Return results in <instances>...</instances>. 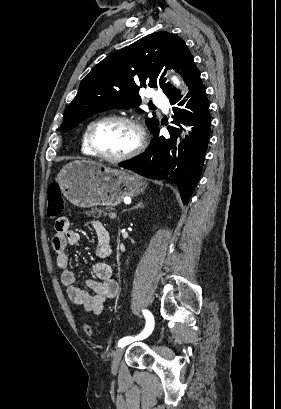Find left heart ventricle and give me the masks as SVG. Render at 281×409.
<instances>
[{
  "label": "left heart ventricle",
  "mask_w": 281,
  "mask_h": 409,
  "mask_svg": "<svg viewBox=\"0 0 281 409\" xmlns=\"http://www.w3.org/2000/svg\"><path fill=\"white\" fill-rule=\"evenodd\" d=\"M96 141L102 154L114 157L133 149L138 142V134L126 123L109 122L99 129Z\"/></svg>",
  "instance_id": "left-heart-ventricle-1"
}]
</instances>
